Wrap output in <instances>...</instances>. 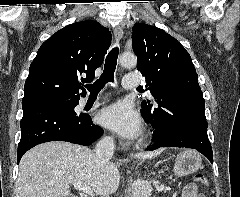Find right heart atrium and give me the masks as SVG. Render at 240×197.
I'll list each match as a JSON object with an SVG mask.
<instances>
[{
  "mask_svg": "<svg viewBox=\"0 0 240 197\" xmlns=\"http://www.w3.org/2000/svg\"><path fill=\"white\" fill-rule=\"evenodd\" d=\"M107 140H108V141H112V138H111V137H107Z\"/></svg>",
  "mask_w": 240,
  "mask_h": 197,
  "instance_id": "d8ad5b80",
  "label": "right heart atrium"
}]
</instances>
